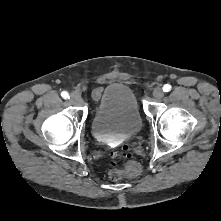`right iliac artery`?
Instances as JSON below:
<instances>
[{"mask_svg":"<svg viewBox=\"0 0 221 221\" xmlns=\"http://www.w3.org/2000/svg\"><path fill=\"white\" fill-rule=\"evenodd\" d=\"M61 96H62L64 99H68V98H69V94H68V92H66V91H63V92L61 93Z\"/></svg>","mask_w":221,"mask_h":221,"instance_id":"1","label":"right iliac artery"}]
</instances>
